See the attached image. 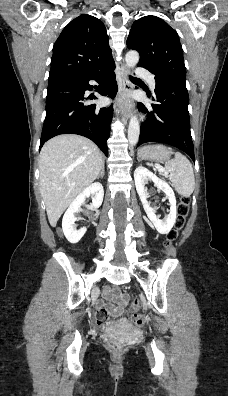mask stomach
I'll return each mask as SVG.
<instances>
[{
    "label": "stomach",
    "mask_w": 228,
    "mask_h": 396,
    "mask_svg": "<svg viewBox=\"0 0 228 396\" xmlns=\"http://www.w3.org/2000/svg\"><path fill=\"white\" fill-rule=\"evenodd\" d=\"M138 155L144 160L167 162L170 159L171 152L169 148L163 145H150L142 147Z\"/></svg>",
    "instance_id": "0dacf381"
}]
</instances>
